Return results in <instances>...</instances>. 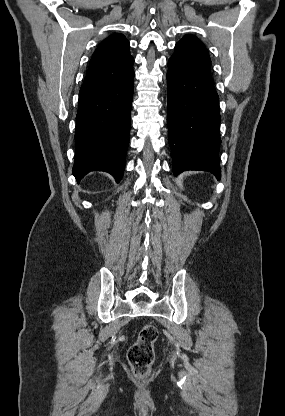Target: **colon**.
Listing matches in <instances>:
<instances>
[{"label":"colon","instance_id":"5ec220e1","mask_svg":"<svg viewBox=\"0 0 285 416\" xmlns=\"http://www.w3.org/2000/svg\"><path fill=\"white\" fill-rule=\"evenodd\" d=\"M157 336L156 327L152 324H145L140 329L137 340L128 351V362L138 377H146L150 373Z\"/></svg>","mask_w":285,"mask_h":416}]
</instances>
